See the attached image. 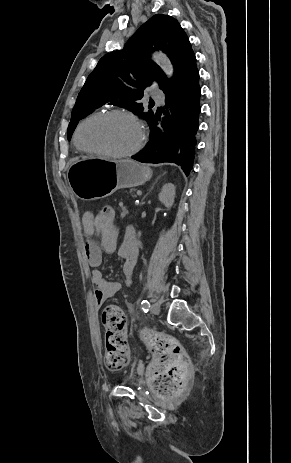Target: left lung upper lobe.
I'll return each mask as SVG.
<instances>
[{
	"label": "left lung upper lobe",
	"mask_w": 291,
	"mask_h": 463,
	"mask_svg": "<svg viewBox=\"0 0 291 463\" xmlns=\"http://www.w3.org/2000/svg\"><path fill=\"white\" fill-rule=\"evenodd\" d=\"M154 50H161L170 58L174 68L172 79L169 80L150 59ZM195 68L196 57L178 21L168 15H154L136 31L122 50L103 56L90 73L72 110L68 140L79 120L106 104L126 108L149 122L154 113L143 112L140 103L143 90L157 81L165 93Z\"/></svg>",
	"instance_id": "1"
}]
</instances>
